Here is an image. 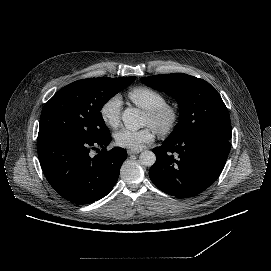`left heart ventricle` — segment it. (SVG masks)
Masks as SVG:
<instances>
[{
	"label": "left heart ventricle",
	"mask_w": 271,
	"mask_h": 271,
	"mask_svg": "<svg viewBox=\"0 0 271 271\" xmlns=\"http://www.w3.org/2000/svg\"><path fill=\"white\" fill-rule=\"evenodd\" d=\"M146 123L150 124V119H149V117H148L147 114H146V117H145V124H146Z\"/></svg>",
	"instance_id": "1"
}]
</instances>
